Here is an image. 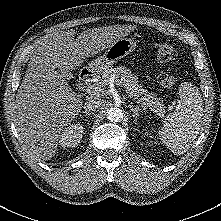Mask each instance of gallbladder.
Listing matches in <instances>:
<instances>
[{"instance_id":"1","label":"gallbladder","mask_w":221,"mask_h":221,"mask_svg":"<svg viewBox=\"0 0 221 221\" xmlns=\"http://www.w3.org/2000/svg\"><path fill=\"white\" fill-rule=\"evenodd\" d=\"M61 74L63 75V77H65L66 79H70L72 77L71 73L67 70H62Z\"/></svg>"}]
</instances>
